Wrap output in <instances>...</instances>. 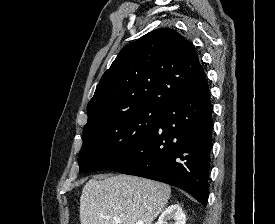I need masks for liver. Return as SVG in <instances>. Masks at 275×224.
<instances>
[{
	"label": "liver",
	"mask_w": 275,
	"mask_h": 224,
	"mask_svg": "<svg viewBox=\"0 0 275 224\" xmlns=\"http://www.w3.org/2000/svg\"><path fill=\"white\" fill-rule=\"evenodd\" d=\"M170 186L129 175L91 179L80 197L81 224H152L166 207ZM114 218H120L117 223Z\"/></svg>",
	"instance_id": "6515ba94"
}]
</instances>
